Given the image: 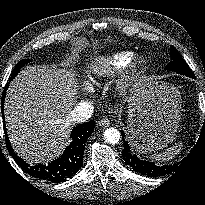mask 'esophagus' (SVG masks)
Masks as SVG:
<instances>
[{
	"mask_svg": "<svg viewBox=\"0 0 205 205\" xmlns=\"http://www.w3.org/2000/svg\"><path fill=\"white\" fill-rule=\"evenodd\" d=\"M109 125H110V120L108 118H104L99 121V126L103 128L108 127Z\"/></svg>",
	"mask_w": 205,
	"mask_h": 205,
	"instance_id": "34e87169",
	"label": "esophagus"
}]
</instances>
